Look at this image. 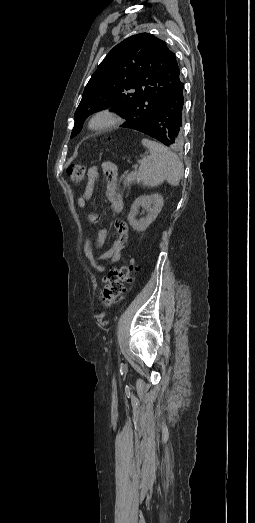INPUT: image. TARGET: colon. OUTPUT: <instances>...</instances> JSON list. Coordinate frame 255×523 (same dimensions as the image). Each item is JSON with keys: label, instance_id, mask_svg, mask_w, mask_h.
Wrapping results in <instances>:
<instances>
[{"label": "colon", "instance_id": "1", "mask_svg": "<svg viewBox=\"0 0 255 523\" xmlns=\"http://www.w3.org/2000/svg\"><path fill=\"white\" fill-rule=\"evenodd\" d=\"M85 172V167L80 164H71L67 168V174L75 184H80L84 180ZM135 268V262L131 260L107 273L101 292V300L104 306H111L123 296L125 285L132 282L131 274Z\"/></svg>", "mask_w": 255, "mask_h": 523}]
</instances>
